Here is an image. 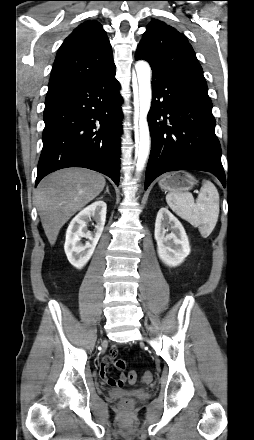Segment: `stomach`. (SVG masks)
Masks as SVG:
<instances>
[{
  "mask_svg": "<svg viewBox=\"0 0 254 440\" xmlns=\"http://www.w3.org/2000/svg\"><path fill=\"white\" fill-rule=\"evenodd\" d=\"M195 183L196 179L190 173L178 171L164 175L159 186L170 193H183L190 190Z\"/></svg>",
  "mask_w": 254,
  "mask_h": 440,
  "instance_id": "0dacf381",
  "label": "stomach"
}]
</instances>
